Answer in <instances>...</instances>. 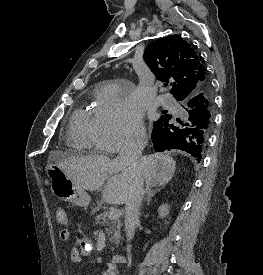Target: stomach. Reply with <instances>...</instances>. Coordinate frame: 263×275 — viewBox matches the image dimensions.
I'll list each match as a JSON object with an SVG mask.
<instances>
[{
  "label": "stomach",
  "mask_w": 263,
  "mask_h": 275,
  "mask_svg": "<svg viewBox=\"0 0 263 275\" xmlns=\"http://www.w3.org/2000/svg\"><path fill=\"white\" fill-rule=\"evenodd\" d=\"M46 174L55 197L81 207L89 205L90 196L88 193L84 189L78 188L57 164L49 163L46 168ZM95 209L97 210L98 207Z\"/></svg>",
  "instance_id": "0dacf381"
}]
</instances>
